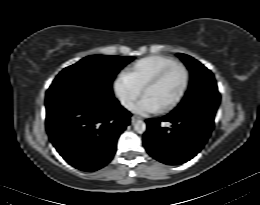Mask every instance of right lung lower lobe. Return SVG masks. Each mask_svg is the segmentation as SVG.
<instances>
[{"instance_id": "1", "label": "right lung lower lobe", "mask_w": 260, "mask_h": 205, "mask_svg": "<svg viewBox=\"0 0 260 205\" xmlns=\"http://www.w3.org/2000/svg\"><path fill=\"white\" fill-rule=\"evenodd\" d=\"M131 114L115 99L69 86L46 93V129L60 155L73 167L92 172L113 158Z\"/></svg>"}]
</instances>
